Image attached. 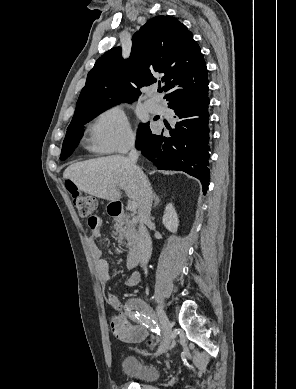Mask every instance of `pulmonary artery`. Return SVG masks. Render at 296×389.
I'll return each instance as SVG.
<instances>
[{"mask_svg": "<svg viewBox=\"0 0 296 389\" xmlns=\"http://www.w3.org/2000/svg\"><path fill=\"white\" fill-rule=\"evenodd\" d=\"M145 107L152 113H160L162 110V107L159 103V101L156 98H150L145 101Z\"/></svg>", "mask_w": 296, "mask_h": 389, "instance_id": "1", "label": "pulmonary artery"}]
</instances>
